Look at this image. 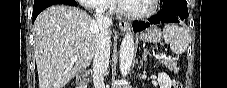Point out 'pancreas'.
<instances>
[{
  "mask_svg": "<svg viewBox=\"0 0 227 88\" xmlns=\"http://www.w3.org/2000/svg\"><path fill=\"white\" fill-rule=\"evenodd\" d=\"M160 62L170 71H173L174 73L179 72V68L177 67V61L173 59H162L160 60Z\"/></svg>",
  "mask_w": 227,
  "mask_h": 88,
  "instance_id": "obj_1",
  "label": "pancreas"
}]
</instances>
